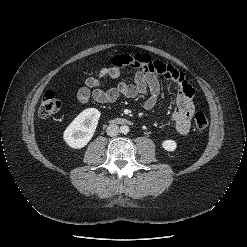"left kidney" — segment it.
<instances>
[{"label": "left kidney", "mask_w": 247, "mask_h": 247, "mask_svg": "<svg viewBox=\"0 0 247 247\" xmlns=\"http://www.w3.org/2000/svg\"><path fill=\"white\" fill-rule=\"evenodd\" d=\"M162 147L169 152H173L177 148V143L174 140L167 139L162 142Z\"/></svg>", "instance_id": "5707ae66"}]
</instances>
